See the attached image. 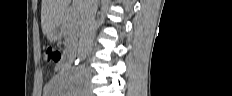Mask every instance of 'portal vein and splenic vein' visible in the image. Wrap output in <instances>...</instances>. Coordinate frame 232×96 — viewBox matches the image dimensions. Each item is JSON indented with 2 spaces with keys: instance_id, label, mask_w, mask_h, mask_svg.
I'll use <instances>...</instances> for the list:
<instances>
[{
  "instance_id": "portal-vein-and-splenic-vein-1",
  "label": "portal vein and splenic vein",
  "mask_w": 232,
  "mask_h": 96,
  "mask_svg": "<svg viewBox=\"0 0 232 96\" xmlns=\"http://www.w3.org/2000/svg\"><path fill=\"white\" fill-rule=\"evenodd\" d=\"M77 0H73V9H77ZM73 15H74V13H73Z\"/></svg>"
}]
</instances>
